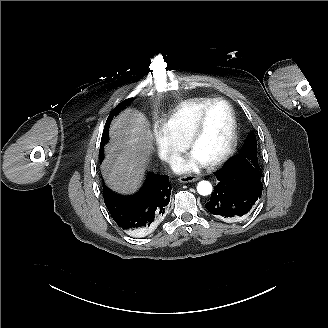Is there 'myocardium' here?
<instances>
[{"label": "myocardium", "mask_w": 328, "mask_h": 328, "mask_svg": "<svg viewBox=\"0 0 328 328\" xmlns=\"http://www.w3.org/2000/svg\"><path fill=\"white\" fill-rule=\"evenodd\" d=\"M219 103H223V104L227 105V107L229 108L230 115H231V122H232L231 137H230L228 146L226 147L225 151L217 158L208 162V164L210 166H218V165L222 164L223 162L227 161L231 157L233 152L235 151L237 141H238V123H237L236 112H235L233 105L224 98L212 99L203 108H201V110L197 114V116L189 130L186 141H185L186 147L191 149L194 141L199 136V134L204 126L205 118H206L208 111L214 105L219 104Z\"/></svg>", "instance_id": "1"}]
</instances>
